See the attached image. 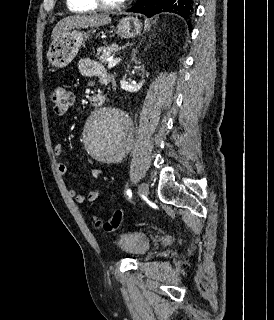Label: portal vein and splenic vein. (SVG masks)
<instances>
[{
	"instance_id": "1",
	"label": "portal vein and splenic vein",
	"mask_w": 274,
	"mask_h": 320,
	"mask_svg": "<svg viewBox=\"0 0 274 320\" xmlns=\"http://www.w3.org/2000/svg\"><path fill=\"white\" fill-rule=\"evenodd\" d=\"M108 68H114L116 64H119L120 58H108Z\"/></svg>"
}]
</instances>
